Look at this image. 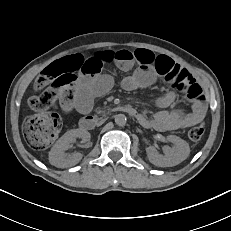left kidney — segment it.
I'll return each mask as SVG.
<instances>
[{
  "label": "left kidney",
  "instance_id": "obj_1",
  "mask_svg": "<svg viewBox=\"0 0 231 231\" xmlns=\"http://www.w3.org/2000/svg\"><path fill=\"white\" fill-rule=\"evenodd\" d=\"M167 139L173 143L174 146L172 148L166 146L164 148L165 155L159 154L152 146L146 148L148 159L152 164L161 167H172L180 164L189 156L190 148L186 141L175 135H169Z\"/></svg>",
  "mask_w": 231,
  "mask_h": 231
}]
</instances>
